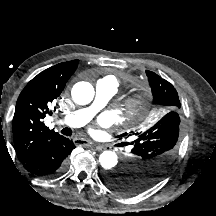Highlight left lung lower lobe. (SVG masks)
Listing matches in <instances>:
<instances>
[{"label": "left lung lower lobe", "instance_id": "left-lung-lower-lobe-1", "mask_svg": "<svg viewBox=\"0 0 216 216\" xmlns=\"http://www.w3.org/2000/svg\"><path fill=\"white\" fill-rule=\"evenodd\" d=\"M109 176H110V174H106L105 176H104V178H103V181H104V183L107 185V180H108V178H109ZM108 186V185H107ZM109 187V186H108ZM110 188V187H109ZM113 190V189H112ZM123 195H133V194H123Z\"/></svg>", "mask_w": 216, "mask_h": 216}]
</instances>
